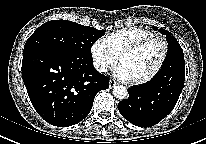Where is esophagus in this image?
<instances>
[{"mask_svg": "<svg viewBox=\"0 0 206 144\" xmlns=\"http://www.w3.org/2000/svg\"><path fill=\"white\" fill-rule=\"evenodd\" d=\"M116 85H117L116 81H114V80H110V81H109V87H110V88H113V87H115Z\"/></svg>", "mask_w": 206, "mask_h": 144, "instance_id": "34e87169", "label": "esophagus"}]
</instances>
